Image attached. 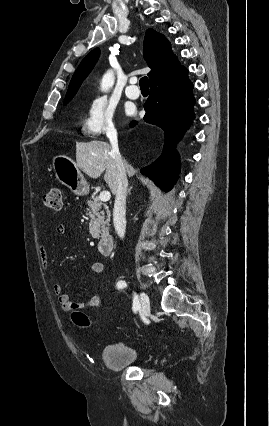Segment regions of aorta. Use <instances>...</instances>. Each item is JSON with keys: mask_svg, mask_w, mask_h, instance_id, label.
<instances>
[{"mask_svg": "<svg viewBox=\"0 0 269 426\" xmlns=\"http://www.w3.org/2000/svg\"><path fill=\"white\" fill-rule=\"evenodd\" d=\"M114 80H115V77H114L113 71H108L103 76V79H102V82H101L102 90L107 91L109 88H111L114 84Z\"/></svg>", "mask_w": 269, "mask_h": 426, "instance_id": "762f6f07", "label": "aorta"}]
</instances>
